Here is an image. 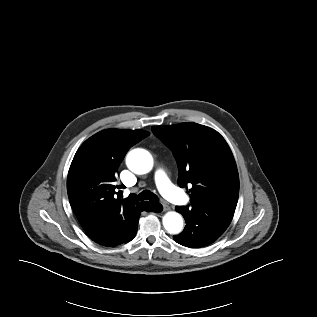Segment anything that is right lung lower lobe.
<instances>
[{"mask_svg":"<svg viewBox=\"0 0 317 317\" xmlns=\"http://www.w3.org/2000/svg\"><path fill=\"white\" fill-rule=\"evenodd\" d=\"M162 209L163 207L161 204L146 202L141 207H139L132 215H130L125 230L114 239L106 236L103 232H99L97 228L90 229L86 231V233L93 241L106 247L127 243L131 241L136 235L138 219L142 211L159 213L162 211Z\"/></svg>","mask_w":317,"mask_h":317,"instance_id":"obj_1","label":"right lung lower lobe"}]
</instances>
